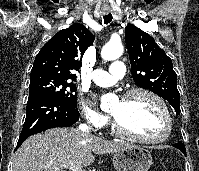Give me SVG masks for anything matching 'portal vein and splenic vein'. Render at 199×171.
Instances as JSON below:
<instances>
[{"mask_svg": "<svg viewBox=\"0 0 199 171\" xmlns=\"http://www.w3.org/2000/svg\"><path fill=\"white\" fill-rule=\"evenodd\" d=\"M66 168H68V169L71 170V171H85V170L82 169L80 166H77V165H75V164H73V163L68 164V165L66 166Z\"/></svg>", "mask_w": 199, "mask_h": 171, "instance_id": "portal-vein-and-splenic-vein-1", "label": "portal vein and splenic vein"}]
</instances>
